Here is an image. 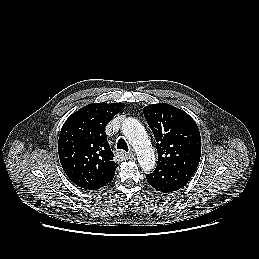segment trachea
I'll return each mask as SVG.
<instances>
[{
    "instance_id": "obj_1",
    "label": "trachea",
    "mask_w": 259,
    "mask_h": 259,
    "mask_svg": "<svg viewBox=\"0 0 259 259\" xmlns=\"http://www.w3.org/2000/svg\"><path fill=\"white\" fill-rule=\"evenodd\" d=\"M117 149H122V150H125L126 152H128V150H129L128 149V145H127L126 141L123 138L118 140V142H117Z\"/></svg>"
}]
</instances>
